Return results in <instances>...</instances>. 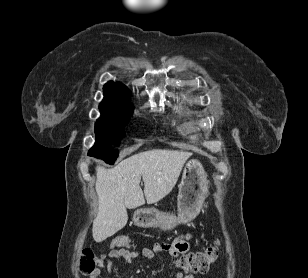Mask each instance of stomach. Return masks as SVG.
<instances>
[{"instance_id": "0dacf381", "label": "stomach", "mask_w": 308, "mask_h": 278, "mask_svg": "<svg viewBox=\"0 0 308 278\" xmlns=\"http://www.w3.org/2000/svg\"><path fill=\"white\" fill-rule=\"evenodd\" d=\"M208 193L207 174L202 164L195 159L189 160L182 173L177 198V216L148 208L137 210L134 222L137 226L156 227L171 230L176 225L188 223L200 213Z\"/></svg>"}]
</instances>
